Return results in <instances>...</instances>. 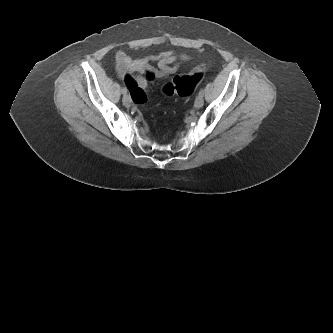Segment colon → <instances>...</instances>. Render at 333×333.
<instances>
[{
	"label": "colon",
	"instance_id": "colon-1",
	"mask_svg": "<svg viewBox=\"0 0 333 333\" xmlns=\"http://www.w3.org/2000/svg\"><path fill=\"white\" fill-rule=\"evenodd\" d=\"M205 66L197 67L190 75L175 76L162 87V93L171 96L177 94L182 97L191 95L204 76Z\"/></svg>",
	"mask_w": 333,
	"mask_h": 333
}]
</instances>
